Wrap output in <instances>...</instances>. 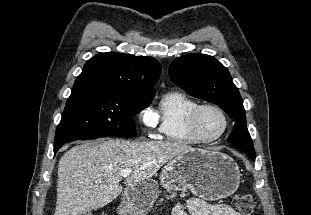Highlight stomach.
<instances>
[{"label": "stomach", "instance_id": "stomach-1", "mask_svg": "<svg viewBox=\"0 0 311 215\" xmlns=\"http://www.w3.org/2000/svg\"><path fill=\"white\" fill-rule=\"evenodd\" d=\"M160 183L167 191H190L205 200L214 201L236 192L240 171L230 156L215 150L195 148L168 162L160 174ZM159 193V185L154 180L126 189L119 215H146Z\"/></svg>", "mask_w": 311, "mask_h": 215}]
</instances>
